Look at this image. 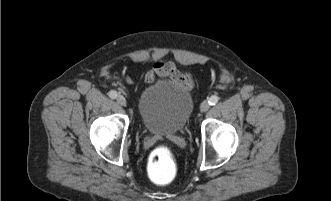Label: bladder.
Returning <instances> with one entry per match:
<instances>
[{
	"mask_svg": "<svg viewBox=\"0 0 331 201\" xmlns=\"http://www.w3.org/2000/svg\"><path fill=\"white\" fill-rule=\"evenodd\" d=\"M193 108L190 89L169 80H158L142 91L138 115L145 130L167 137L185 127Z\"/></svg>",
	"mask_w": 331,
	"mask_h": 201,
	"instance_id": "obj_1",
	"label": "bladder"
}]
</instances>
